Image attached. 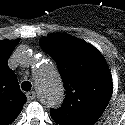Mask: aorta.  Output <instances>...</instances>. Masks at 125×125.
<instances>
[{
	"mask_svg": "<svg viewBox=\"0 0 125 125\" xmlns=\"http://www.w3.org/2000/svg\"><path fill=\"white\" fill-rule=\"evenodd\" d=\"M34 81L43 105L48 108L60 106L64 98V88L60 75L52 62H44L35 68Z\"/></svg>",
	"mask_w": 125,
	"mask_h": 125,
	"instance_id": "762f6f07",
	"label": "aorta"
}]
</instances>
